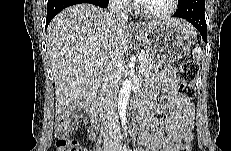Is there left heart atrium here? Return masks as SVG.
I'll list each match as a JSON object with an SVG mask.
<instances>
[{
  "label": "left heart atrium",
  "instance_id": "1",
  "mask_svg": "<svg viewBox=\"0 0 231 151\" xmlns=\"http://www.w3.org/2000/svg\"><path fill=\"white\" fill-rule=\"evenodd\" d=\"M143 1H145V0H136L135 2H136V3H141V2H143Z\"/></svg>",
  "mask_w": 231,
  "mask_h": 151
}]
</instances>
